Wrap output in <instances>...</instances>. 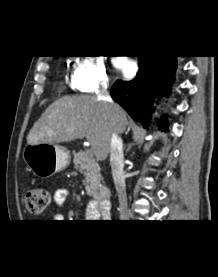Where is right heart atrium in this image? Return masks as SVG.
<instances>
[{
    "mask_svg": "<svg viewBox=\"0 0 218 277\" xmlns=\"http://www.w3.org/2000/svg\"><path fill=\"white\" fill-rule=\"evenodd\" d=\"M109 84L105 58L102 55L87 54L77 63L71 77V85L79 92H93Z\"/></svg>",
    "mask_w": 218,
    "mask_h": 277,
    "instance_id": "1",
    "label": "right heart atrium"
}]
</instances>
